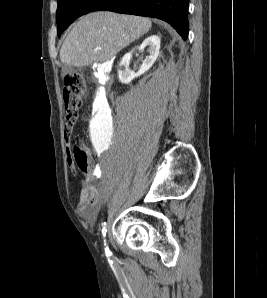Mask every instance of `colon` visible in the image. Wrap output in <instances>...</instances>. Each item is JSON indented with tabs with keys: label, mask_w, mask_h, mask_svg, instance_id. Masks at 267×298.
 <instances>
[{
	"label": "colon",
	"mask_w": 267,
	"mask_h": 298,
	"mask_svg": "<svg viewBox=\"0 0 267 298\" xmlns=\"http://www.w3.org/2000/svg\"><path fill=\"white\" fill-rule=\"evenodd\" d=\"M85 91V81L81 74L75 73L67 75L64 79L63 99L66 112L65 135L69 136L73 125L78 118V112L82 104V98ZM68 162L75 168L85 174H90L93 169V163L86 152L80 146H75L68 151Z\"/></svg>",
	"instance_id": "colon-1"
}]
</instances>
